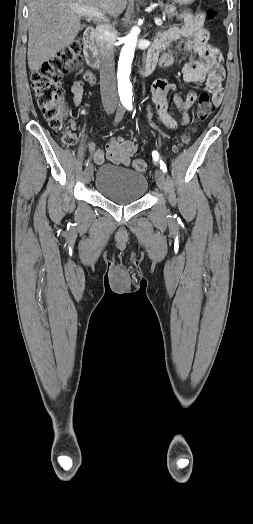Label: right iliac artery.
Segmentation results:
<instances>
[{"instance_id": "obj_1", "label": "right iliac artery", "mask_w": 253, "mask_h": 524, "mask_svg": "<svg viewBox=\"0 0 253 524\" xmlns=\"http://www.w3.org/2000/svg\"><path fill=\"white\" fill-rule=\"evenodd\" d=\"M125 104L123 105H119L117 111H116V115H115V119H114V125L118 124L122 118H123V115L125 113ZM92 157L89 156L88 159L85 161V166L87 167L89 164H90V161H91Z\"/></svg>"}]
</instances>
